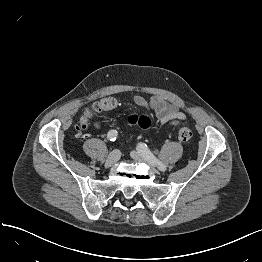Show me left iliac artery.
Segmentation results:
<instances>
[{"mask_svg":"<svg viewBox=\"0 0 262 262\" xmlns=\"http://www.w3.org/2000/svg\"><path fill=\"white\" fill-rule=\"evenodd\" d=\"M137 150L149 161V163L157 166L161 171L166 170V166L150 152L146 144L139 143Z\"/></svg>","mask_w":262,"mask_h":262,"instance_id":"obj_1","label":"left iliac artery"}]
</instances>
